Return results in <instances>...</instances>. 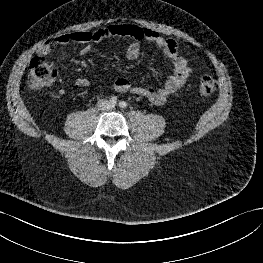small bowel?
Listing matches in <instances>:
<instances>
[{"label": "small bowel", "mask_w": 263, "mask_h": 263, "mask_svg": "<svg viewBox=\"0 0 263 263\" xmlns=\"http://www.w3.org/2000/svg\"><path fill=\"white\" fill-rule=\"evenodd\" d=\"M110 37H123L129 39L126 55L129 59H137L140 55V42L150 41L171 60L173 73L168 77L165 84L158 89L135 86L126 78H119L114 82V90L119 93H132L148 99L154 105L164 104L174 95L187 81L192 73V68L187 60L180 54L177 42L174 39L164 38L157 32L130 23L111 24L96 31H78L70 34L59 35L52 40L44 42L38 52L41 55L50 53L54 46L69 43L83 44L81 53L88 52L90 44L98 43ZM78 87H87L89 81L85 77H78L75 81Z\"/></svg>", "instance_id": "small-bowel-1"}]
</instances>
